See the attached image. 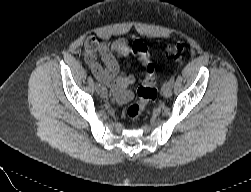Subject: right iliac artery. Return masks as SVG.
<instances>
[{"label": "right iliac artery", "instance_id": "right-iliac-artery-1", "mask_svg": "<svg viewBox=\"0 0 251 192\" xmlns=\"http://www.w3.org/2000/svg\"><path fill=\"white\" fill-rule=\"evenodd\" d=\"M100 87H101L100 83L97 82L96 85H95V88H96L97 92L99 91Z\"/></svg>", "mask_w": 251, "mask_h": 192}]
</instances>
